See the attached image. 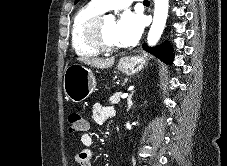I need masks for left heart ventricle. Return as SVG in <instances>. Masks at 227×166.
Here are the masks:
<instances>
[{
	"mask_svg": "<svg viewBox=\"0 0 227 166\" xmlns=\"http://www.w3.org/2000/svg\"><path fill=\"white\" fill-rule=\"evenodd\" d=\"M102 39L108 45H120V41L117 37V21L114 17L109 16L103 23Z\"/></svg>",
	"mask_w": 227,
	"mask_h": 166,
	"instance_id": "obj_1",
	"label": "left heart ventricle"
}]
</instances>
